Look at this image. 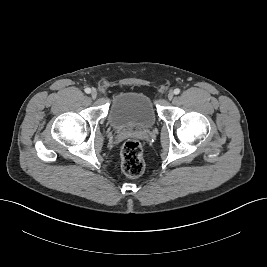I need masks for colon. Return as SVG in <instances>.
Masks as SVG:
<instances>
[{"instance_id":"obj_1","label":"colon","mask_w":267,"mask_h":267,"mask_svg":"<svg viewBox=\"0 0 267 267\" xmlns=\"http://www.w3.org/2000/svg\"><path fill=\"white\" fill-rule=\"evenodd\" d=\"M122 170L130 178H137L144 172L143 149L136 140L125 142L121 152Z\"/></svg>"}]
</instances>
